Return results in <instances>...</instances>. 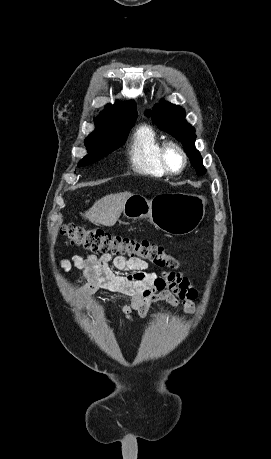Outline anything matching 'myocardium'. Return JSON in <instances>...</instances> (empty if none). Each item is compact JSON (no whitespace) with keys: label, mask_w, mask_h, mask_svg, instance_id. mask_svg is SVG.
<instances>
[{"label":"myocardium","mask_w":271,"mask_h":459,"mask_svg":"<svg viewBox=\"0 0 271 459\" xmlns=\"http://www.w3.org/2000/svg\"><path fill=\"white\" fill-rule=\"evenodd\" d=\"M171 149H175L178 151L183 159V165L180 169L175 170L170 166L168 160V154ZM159 156L161 163L165 169V171L170 175H180L182 174L189 165V155L185 149V147L177 140H166L160 146Z\"/></svg>","instance_id":"f54148a6"}]
</instances>
